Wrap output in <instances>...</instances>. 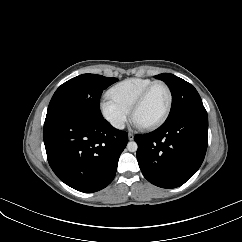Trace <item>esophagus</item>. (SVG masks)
Segmentation results:
<instances>
[{
    "instance_id": "obj_1",
    "label": "esophagus",
    "mask_w": 242,
    "mask_h": 242,
    "mask_svg": "<svg viewBox=\"0 0 242 242\" xmlns=\"http://www.w3.org/2000/svg\"><path fill=\"white\" fill-rule=\"evenodd\" d=\"M128 139H129V140H133V139H134V135L131 134V133H129V134H128Z\"/></svg>"
}]
</instances>
